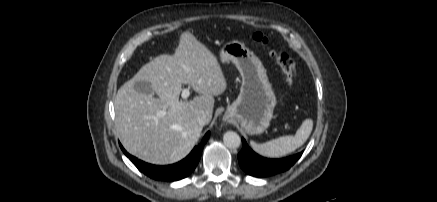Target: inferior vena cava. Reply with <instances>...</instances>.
I'll list each match as a JSON object with an SVG mask.
<instances>
[{
    "instance_id": "inferior-vena-cava-1",
    "label": "inferior vena cava",
    "mask_w": 437,
    "mask_h": 202,
    "mask_svg": "<svg viewBox=\"0 0 437 202\" xmlns=\"http://www.w3.org/2000/svg\"><path fill=\"white\" fill-rule=\"evenodd\" d=\"M197 121H198L199 125L204 126V125L209 123V118L207 117V115L205 113H201L198 115Z\"/></svg>"
}]
</instances>
